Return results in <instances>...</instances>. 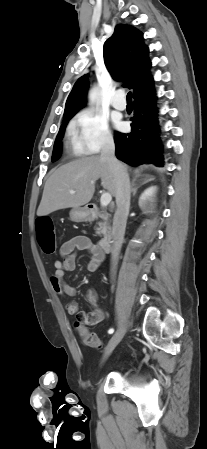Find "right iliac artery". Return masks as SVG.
<instances>
[{
	"instance_id": "right-iliac-artery-1",
	"label": "right iliac artery",
	"mask_w": 207,
	"mask_h": 449,
	"mask_svg": "<svg viewBox=\"0 0 207 449\" xmlns=\"http://www.w3.org/2000/svg\"><path fill=\"white\" fill-rule=\"evenodd\" d=\"M113 332H114V329H112V328L108 330L109 334H112Z\"/></svg>"
}]
</instances>
